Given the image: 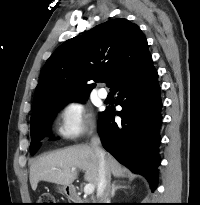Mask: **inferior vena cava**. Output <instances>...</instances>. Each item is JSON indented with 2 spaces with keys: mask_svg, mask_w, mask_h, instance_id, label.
Segmentation results:
<instances>
[{
  "mask_svg": "<svg viewBox=\"0 0 200 205\" xmlns=\"http://www.w3.org/2000/svg\"><path fill=\"white\" fill-rule=\"evenodd\" d=\"M91 146L99 158V182L97 186V197L100 200L99 203H110V180L111 175L107 168L105 153L101 148V141L99 136H93L91 138Z\"/></svg>",
  "mask_w": 200,
  "mask_h": 205,
  "instance_id": "inferior-vena-cava-1",
  "label": "inferior vena cava"
}]
</instances>
